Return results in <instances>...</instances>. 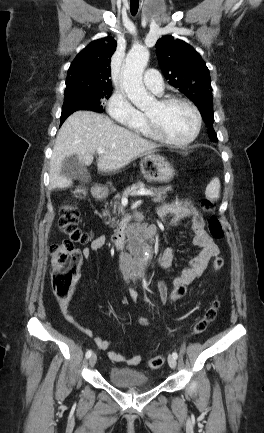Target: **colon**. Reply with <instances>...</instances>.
Instances as JSON below:
<instances>
[{"mask_svg": "<svg viewBox=\"0 0 264 433\" xmlns=\"http://www.w3.org/2000/svg\"><path fill=\"white\" fill-rule=\"evenodd\" d=\"M76 199H84L87 191L83 185H77L72 189ZM202 208L207 213L213 212V203L209 200L202 202ZM79 210L73 204H66L61 209L59 218V227L66 239L62 242L51 246V267L53 271L52 286L55 296L59 299L66 298L70 295V288L73 280L77 276L82 258L76 244H87L92 240V234L79 227ZM207 228L210 235L215 239H221L224 236V230L219 218L211 215L207 222ZM224 260L221 256L215 255L211 260V268L218 271L222 268ZM187 288L185 285H174L168 299L170 303H175L185 296ZM219 301L214 300L206 309L203 316L198 319L192 333L199 335L203 333L210 323H212L218 313ZM148 366L151 369H158L164 364L162 356H152L148 359Z\"/></svg>", "mask_w": 264, "mask_h": 433, "instance_id": "1", "label": "colon"}]
</instances>
